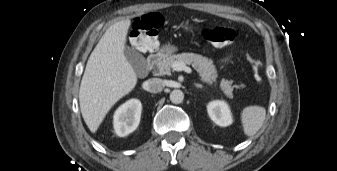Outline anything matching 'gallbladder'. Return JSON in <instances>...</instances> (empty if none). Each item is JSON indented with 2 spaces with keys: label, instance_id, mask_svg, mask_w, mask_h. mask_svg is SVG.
Returning <instances> with one entry per match:
<instances>
[{
  "label": "gallbladder",
  "instance_id": "1",
  "mask_svg": "<svg viewBox=\"0 0 337 171\" xmlns=\"http://www.w3.org/2000/svg\"><path fill=\"white\" fill-rule=\"evenodd\" d=\"M125 56L129 63L134 68L136 74L141 75L146 69V61L144 57L138 53L134 48L127 47L125 49Z\"/></svg>",
  "mask_w": 337,
  "mask_h": 171
}]
</instances>
